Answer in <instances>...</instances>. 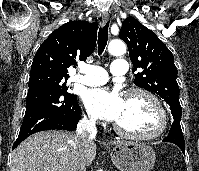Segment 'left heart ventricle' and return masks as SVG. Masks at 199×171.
<instances>
[{
    "label": "left heart ventricle",
    "instance_id": "obj_1",
    "mask_svg": "<svg viewBox=\"0 0 199 171\" xmlns=\"http://www.w3.org/2000/svg\"><path fill=\"white\" fill-rule=\"evenodd\" d=\"M116 123L129 132L150 133L158 126V116L147 97L133 95L125 98L123 111Z\"/></svg>",
    "mask_w": 199,
    "mask_h": 171
}]
</instances>
